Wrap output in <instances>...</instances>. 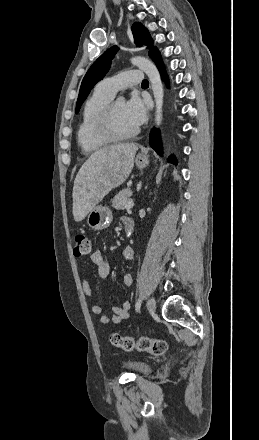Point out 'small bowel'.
<instances>
[{
	"mask_svg": "<svg viewBox=\"0 0 259 440\" xmlns=\"http://www.w3.org/2000/svg\"><path fill=\"white\" fill-rule=\"evenodd\" d=\"M126 219L127 218H123V223ZM134 255H135V252L131 246H127L123 250V259L124 260H127V261L132 260L134 258ZM90 260L95 265L96 270H97V274L100 278L108 277V275L110 274V264H109L108 260L104 257L102 251L95 250L91 254ZM132 283H133L132 275L125 274L123 276L124 286L130 287L132 285ZM82 289H83V292L88 297L93 296V289L90 285V282L86 278H83V280H82ZM130 309H131V304H130V302L126 301L120 306L113 307L112 315H101L100 321L104 325L120 324L123 321H125L126 319H128ZM91 310L94 314L100 315L103 312V307L101 306V304H94L92 306Z\"/></svg>",
	"mask_w": 259,
	"mask_h": 440,
	"instance_id": "1",
	"label": "small bowel"
}]
</instances>
